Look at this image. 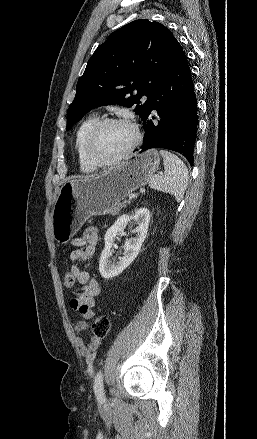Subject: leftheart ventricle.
Masks as SVG:
<instances>
[{
    "label": "left heart ventricle",
    "mask_w": 257,
    "mask_h": 439,
    "mask_svg": "<svg viewBox=\"0 0 257 439\" xmlns=\"http://www.w3.org/2000/svg\"><path fill=\"white\" fill-rule=\"evenodd\" d=\"M133 138L134 132L129 126H107L95 140L93 153L101 161L110 160L123 152Z\"/></svg>",
    "instance_id": "1"
}]
</instances>
